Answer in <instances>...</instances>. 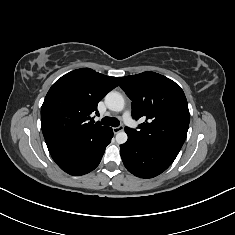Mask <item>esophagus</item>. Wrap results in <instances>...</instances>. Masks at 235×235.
Here are the masks:
<instances>
[{
    "label": "esophagus",
    "mask_w": 235,
    "mask_h": 235,
    "mask_svg": "<svg viewBox=\"0 0 235 235\" xmlns=\"http://www.w3.org/2000/svg\"><path fill=\"white\" fill-rule=\"evenodd\" d=\"M123 130V126H118V127H114L113 128V132L114 134H117L118 132L122 131Z\"/></svg>",
    "instance_id": "1"
}]
</instances>
